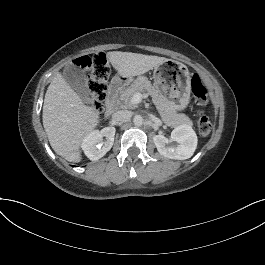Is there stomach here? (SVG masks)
I'll return each instance as SVG.
<instances>
[{"mask_svg": "<svg viewBox=\"0 0 265 265\" xmlns=\"http://www.w3.org/2000/svg\"><path fill=\"white\" fill-rule=\"evenodd\" d=\"M153 79L155 88L173 103L176 110H184L188 106L191 74L184 64L168 59L154 68Z\"/></svg>", "mask_w": 265, "mask_h": 265, "instance_id": "0dacf381", "label": "stomach"}]
</instances>
